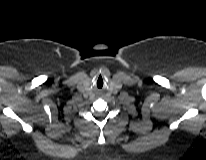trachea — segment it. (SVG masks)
Segmentation results:
<instances>
[{"label": "trachea", "mask_w": 206, "mask_h": 160, "mask_svg": "<svg viewBox=\"0 0 206 160\" xmlns=\"http://www.w3.org/2000/svg\"><path fill=\"white\" fill-rule=\"evenodd\" d=\"M97 86H98L99 88H101V87L103 86V79H102L101 75H100L99 78H98Z\"/></svg>", "instance_id": "1"}]
</instances>
